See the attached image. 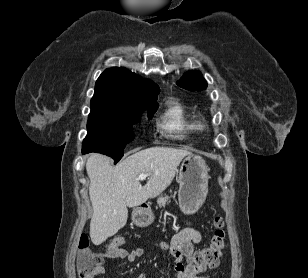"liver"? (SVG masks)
<instances>
[{
    "mask_svg": "<svg viewBox=\"0 0 308 278\" xmlns=\"http://www.w3.org/2000/svg\"><path fill=\"white\" fill-rule=\"evenodd\" d=\"M190 154L176 148L151 147L112 166L107 156L92 153L86 171L93 207L90 222L93 244L100 245L126 225L127 207L139 206L161 194L173 181L181 160ZM141 173L149 174L144 186L138 178Z\"/></svg>",
    "mask_w": 308,
    "mask_h": 278,
    "instance_id": "6515ba94",
    "label": "liver"
}]
</instances>
